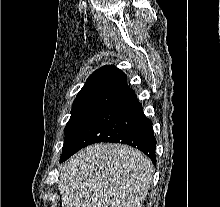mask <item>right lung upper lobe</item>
<instances>
[{
  "mask_svg": "<svg viewBox=\"0 0 220 207\" xmlns=\"http://www.w3.org/2000/svg\"><path fill=\"white\" fill-rule=\"evenodd\" d=\"M121 72L120 69H118L115 66L112 65H106L103 66L96 71H94L87 79L86 83L83 87L93 85V84H102L107 79L113 77L114 75Z\"/></svg>",
  "mask_w": 220,
  "mask_h": 207,
  "instance_id": "cb5924a9",
  "label": "right lung upper lobe"
}]
</instances>
